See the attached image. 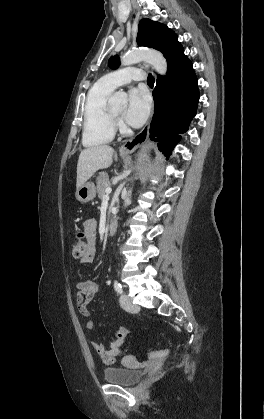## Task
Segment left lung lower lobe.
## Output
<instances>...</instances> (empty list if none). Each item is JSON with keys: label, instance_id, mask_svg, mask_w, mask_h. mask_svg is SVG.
Segmentation results:
<instances>
[{"label": "left lung lower lobe", "instance_id": "obj_1", "mask_svg": "<svg viewBox=\"0 0 264 419\" xmlns=\"http://www.w3.org/2000/svg\"><path fill=\"white\" fill-rule=\"evenodd\" d=\"M163 55L167 59L168 70L166 76L158 75L153 90L155 113L150 138L153 140L154 136H159L154 140L160 142V151L169 157L181 139L178 133L186 132L196 115L199 91L193 64L178 40Z\"/></svg>", "mask_w": 264, "mask_h": 419}]
</instances>
